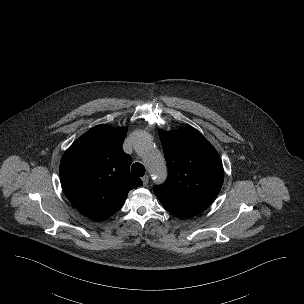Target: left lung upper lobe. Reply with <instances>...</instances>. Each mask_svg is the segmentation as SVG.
Here are the masks:
<instances>
[{
  "instance_id": "1",
  "label": "left lung upper lobe",
  "mask_w": 304,
  "mask_h": 304,
  "mask_svg": "<svg viewBox=\"0 0 304 304\" xmlns=\"http://www.w3.org/2000/svg\"><path fill=\"white\" fill-rule=\"evenodd\" d=\"M168 177L154 193L163 206L187 216L204 211L218 195L224 180L221 159L195 129L159 131Z\"/></svg>"
}]
</instances>
